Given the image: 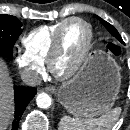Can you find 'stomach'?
<instances>
[{
	"instance_id": "1",
	"label": "stomach",
	"mask_w": 130,
	"mask_h": 130,
	"mask_svg": "<svg viewBox=\"0 0 130 130\" xmlns=\"http://www.w3.org/2000/svg\"><path fill=\"white\" fill-rule=\"evenodd\" d=\"M120 67L109 54L93 51L83 67L58 90V100L76 117L107 113L118 98Z\"/></svg>"
}]
</instances>
